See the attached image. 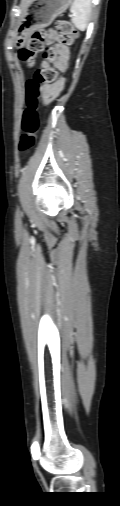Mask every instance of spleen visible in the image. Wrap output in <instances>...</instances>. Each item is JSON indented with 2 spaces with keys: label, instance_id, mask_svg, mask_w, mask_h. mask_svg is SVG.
Listing matches in <instances>:
<instances>
[{
  "label": "spleen",
  "instance_id": "1",
  "mask_svg": "<svg viewBox=\"0 0 120 506\" xmlns=\"http://www.w3.org/2000/svg\"><path fill=\"white\" fill-rule=\"evenodd\" d=\"M91 0H74L70 8L73 17L71 19L75 27L84 31L87 28L88 20L91 14Z\"/></svg>",
  "mask_w": 120,
  "mask_h": 506
}]
</instances>
